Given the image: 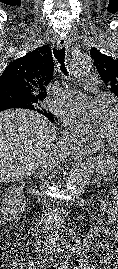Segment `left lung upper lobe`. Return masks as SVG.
Masks as SVG:
<instances>
[{"label":"left lung upper lobe","instance_id":"1","mask_svg":"<svg viewBox=\"0 0 118 269\" xmlns=\"http://www.w3.org/2000/svg\"><path fill=\"white\" fill-rule=\"evenodd\" d=\"M90 55L94 59L97 71L109 90L118 96V61L91 48Z\"/></svg>","mask_w":118,"mask_h":269}]
</instances>
